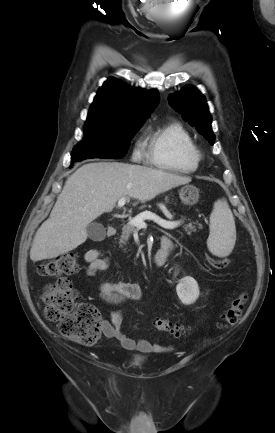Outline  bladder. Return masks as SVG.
Segmentation results:
<instances>
[{
    "label": "bladder",
    "mask_w": 275,
    "mask_h": 433,
    "mask_svg": "<svg viewBox=\"0 0 275 433\" xmlns=\"http://www.w3.org/2000/svg\"><path fill=\"white\" fill-rule=\"evenodd\" d=\"M143 360H144V358L141 357V356H135V357H133V362L135 364H140Z\"/></svg>",
    "instance_id": "obj_1"
}]
</instances>
